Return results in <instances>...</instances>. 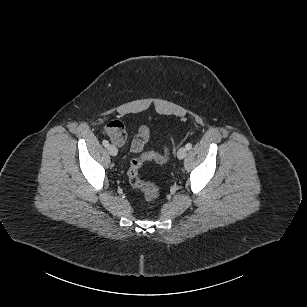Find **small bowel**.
I'll use <instances>...</instances> for the list:
<instances>
[{"label":"small bowel","instance_id":"1","mask_svg":"<svg viewBox=\"0 0 307 307\" xmlns=\"http://www.w3.org/2000/svg\"><path fill=\"white\" fill-rule=\"evenodd\" d=\"M107 135L118 146H123L126 143L127 135L125 125L120 120H111L105 127ZM149 137V130L146 126H142L138 134L134 137L131 143V151L133 153H140L143 150L145 143Z\"/></svg>","mask_w":307,"mask_h":307}]
</instances>
